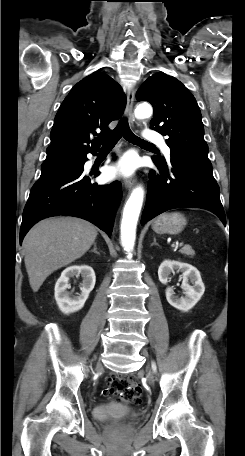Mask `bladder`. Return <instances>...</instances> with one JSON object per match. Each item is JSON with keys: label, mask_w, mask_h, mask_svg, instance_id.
<instances>
[{"label": "bladder", "mask_w": 245, "mask_h": 456, "mask_svg": "<svg viewBox=\"0 0 245 456\" xmlns=\"http://www.w3.org/2000/svg\"><path fill=\"white\" fill-rule=\"evenodd\" d=\"M136 412L131 407L116 403L98 404L93 409V416L99 421L121 420L135 416Z\"/></svg>", "instance_id": "31cf9c89"}]
</instances>
